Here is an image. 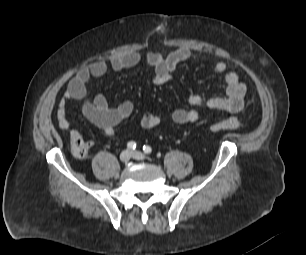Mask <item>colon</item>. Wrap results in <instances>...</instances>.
Wrapping results in <instances>:
<instances>
[{
  "instance_id": "1",
  "label": "colon",
  "mask_w": 306,
  "mask_h": 255,
  "mask_svg": "<svg viewBox=\"0 0 306 255\" xmlns=\"http://www.w3.org/2000/svg\"><path fill=\"white\" fill-rule=\"evenodd\" d=\"M241 127L240 121L235 117H229L217 121L211 125L213 131L237 130ZM71 152L76 158H85L89 152V142L86 141L80 133L72 131L70 133Z\"/></svg>"
}]
</instances>
